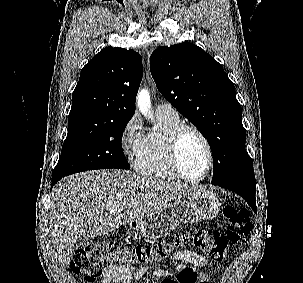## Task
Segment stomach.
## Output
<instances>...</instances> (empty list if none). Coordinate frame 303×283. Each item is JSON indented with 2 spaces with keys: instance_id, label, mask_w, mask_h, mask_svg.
<instances>
[{
  "instance_id": "0dacf381",
  "label": "stomach",
  "mask_w": 303,
  "mask_h": 283,
  "mask_svg": "<svg viewBox=\"0 0 303 283\" xmlns=\"http://www.w3.org/2000/svg\"><path fill=\"white\" fill-rule=\"evenodd\" d=\"M218 196L209 190L200 189L182 195L164 210L136 222V230L148 239H159L170 234L179 223H194L210 220L219 212Z\"/></svg>"
}]
</instances>
